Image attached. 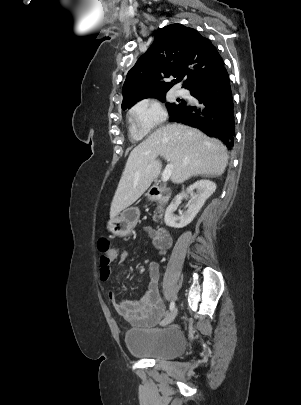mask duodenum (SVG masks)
<instances>
[{"label": "duodenum", "instance_id": "410a0bca", "mask_svg": "<svg viewBox=\"0 0 301 405\" xmlns=\"http://www.w3.org/2000/svg\"><path fill=\"white\" fill-rule=\"evenodd\" d=\"M148 195L152 199L153 203L159 201L160 203L165 204L171 197V190L162 186H153ZM156 232L157 235L156 239L154 240L156 246L167 247L171 244V238L166 229L161 227L156 230Z\"/></svg>", "mask_w": 301, "mask_h": 405}]
</instances>
